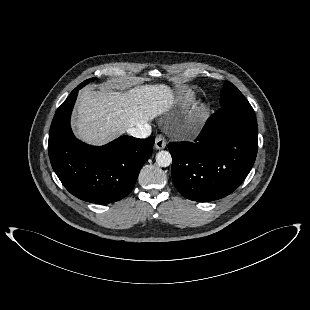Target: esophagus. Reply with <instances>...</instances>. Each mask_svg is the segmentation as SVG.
<instances>
[{"instance_id": "obj_1", "label": "esophagus", "mask_w": 310, "mask_h": 310, "mask_svg": "<svg viewBox=\"0 0 310 310\" xmlns=\"http://www.w3.org/2000/svg\"><path fill=\"white\" fill-rule=\"evenodd\" d=\"M166 147V139L162 135H158L155 138V148L157 150L164 149Z\"/></svg>"}]
</instances>
